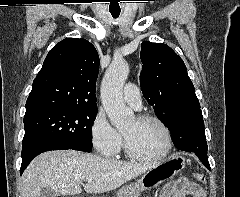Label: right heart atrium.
Here are the masks:
<instances>
[{"mask_svg": "<svg viewBox=\"0 0 240 197\" xmlns=\"http://www.w3.org/2000/svg\"><path fill=\"white\" fill-rule=\"evenodd\" d=\"M89 134L94 150L104 156L114 155L122 144L121 134L110 124L102 111L94 116Z\"/></svg>", "mask_w": 240, "mask_h": 197, "instance_id": "d8ad5b80", "label": "right heart atrium"}]
</instances>
